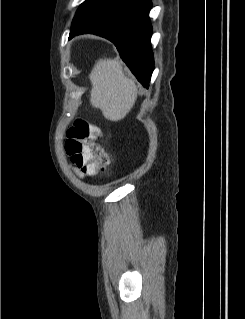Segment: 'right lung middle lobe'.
<instances>
[{
    "label": "right lung middle lobe",
    "instance_id": "dd1d6c3e",
    "mask_svg": "<svg viewBox=\"0 0 245 319\" xmlns=\"http://www.w3.org/2000/svg\"><path fill=\"white\" fill-rule=\"evenodd\" d=\"M130 0H86L78 9L85 15L82 23H94L126 5Z\"/></svg>",
    "mask_w": 245,
    "mask_h": 319
}]
</instances>
